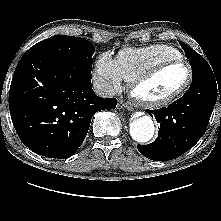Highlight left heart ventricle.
Instances as JSON below:
<instances>
[{"label": "left heart ventricle", "instance_id": "obj_1", "mask_svg": "<svg viewBox=\"0 0 221 221\" xmlns=\"http://www.w3.org/2000/svg\"><path fill=\"white\" fill-rule=\"evenodd\" d=\"M188 70L183 65L172 66L139 89V94L148 99H160L178 90L186 81Z\"/></svg>", "mask_w": 221, "mask_h": 221}]
</instances>
